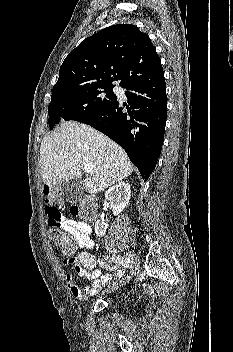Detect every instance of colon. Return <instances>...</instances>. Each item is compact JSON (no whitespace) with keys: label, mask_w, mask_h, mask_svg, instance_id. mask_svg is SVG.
Returning <instances> with one entry per match:
<instances>
[{"label":"colon","mask_w":233,"mask_h":352,"mask_svg":"<svg viewBox=\"0 0 233 352\" xmlns=\"http://www.w3.org/2000/svg\"><path fill=\"white\" fill-rule=\"evenodd\" d=\"M73 215L84 219H91L96 213V204L92 197L85 196L78 205L72 207ZM48 237L50 241L59 248L64 254L71 255L75 252L76 244L60 228L49 225Z\"/></svg>","instance_id":"5ec220e1"}]
</instances>
